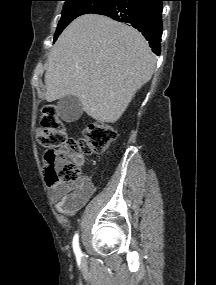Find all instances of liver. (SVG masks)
Returning a JSON list of instances; mask_svg holds the SVG:
<instances>
[{
    "mask_svg": "<svg viewBox=\"0 0 216 285\" xmlns=\"http://www.w3.org/2000/svg\"><path fill=\"white\" fill-rule=\"evenodd\" d=\"M155 66V56L136 29L86 14L66 27L50 51L45 98L76 96L90 117L114 123Z\"/></svg>",
    "mask_w": 216,
    "mask_h": 285,
    "instance_id": "liver-1",
    "label": "liver"
}]
</instances>
